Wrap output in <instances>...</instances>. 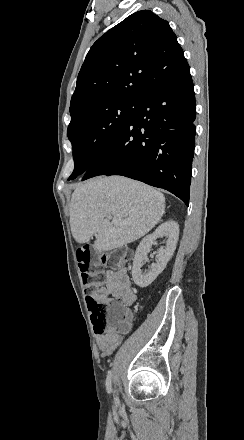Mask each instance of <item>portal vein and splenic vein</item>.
<instances>
[{
	"mask_svg": "<svg viewBox=\"0 0 244 440\" xmlns=\"http://www.w3.org/2000/svg\"><path fill=\"white\" fill-rule=\"evenodd\" d=\"M108 220H112V224H114V226H122V224L127 222V220H121V218H115V216H108Z\"/></svg>",
	"mask_w": 244,
	"mask_h": 440,
	"instance_id": "1",
	"label": "portal vein and splenic vein"
}]
</instances>
